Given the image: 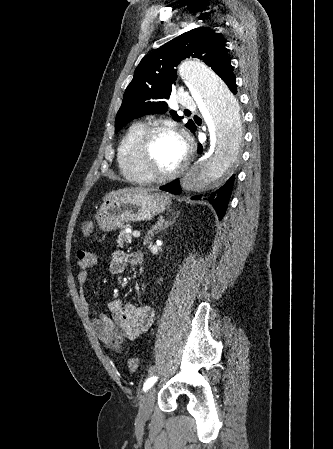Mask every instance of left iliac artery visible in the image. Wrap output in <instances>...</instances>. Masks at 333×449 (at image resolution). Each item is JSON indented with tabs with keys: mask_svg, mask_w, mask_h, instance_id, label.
I'll return each mask as SVG.
<instances>
[{
	"mask_svg": "<svg viewBox=\"0 0 333 449\" xmlns=\"http://www.w3.org/2000/svg\"><path fill=\"white\" fill-rule=\"evenodd\" d=\"M156 380H157V377H156V376H151V377H149V378L146 380V382L144 383L143 390H144L145 392L148 391V389H150V388L153 386V384L156 382Z\"/></svg>",
	"mask_w": 333,
	"mask_h": 449,
	"instance_id": "obj_1",
	"label": "left iliac artery"
}]
</instances>
